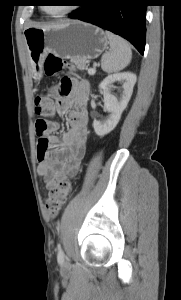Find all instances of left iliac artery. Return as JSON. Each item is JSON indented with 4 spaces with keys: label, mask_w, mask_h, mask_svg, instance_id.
Masks as SVG:
<instances>
[{
    "label": "left iliac artery",
    "mask_w": 181,
    "mask_h": 300,
    "mask_svg": "<svg viewBox=\"0 0 181 300\" xmlns=\"http://www.w3.org/2000/svg\"><path fill=\"white\" fill-rule=\"evenodd\" d=\"M57 260H58L59 263H63V261H64V252L61 249L60 245L58 246Z\"/></svg>",
    "instance_id": "obj_1"
}]
</instances>
